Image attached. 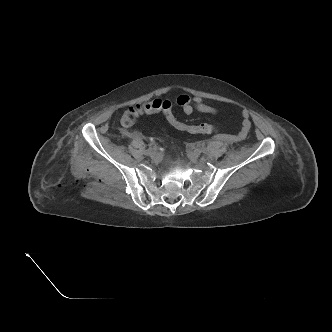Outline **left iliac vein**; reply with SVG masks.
<instances>
[{"mask_svg":"<svg viewBox=\"0 0 332 332\" xmlns=\"http://www.w3.org/2000/svg\"><path fill=\"white\" fill-rule=\"evenodd\" d=\"M188 157L192 160V161H197L199 158V155L195 152V151H188Z\"/></svg>","mask_w":332,"mask_h":332,"instance_id":"left-iliac-vein-1","label":"left iliac vein"}]
</instances>
